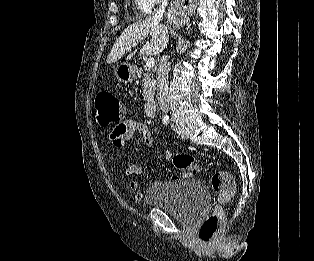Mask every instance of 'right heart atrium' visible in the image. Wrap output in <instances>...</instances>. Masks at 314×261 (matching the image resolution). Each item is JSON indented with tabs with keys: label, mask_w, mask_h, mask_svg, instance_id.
<instances>
[{
	"label": "right heart atrium",
	"mask_w": 314,
	"mask_h": 261,
	"mask_svg": "<svg viewBox=\"0 0 314 261\" xmlns=\"http://www.w3.org/2000/svg\"><path fill=\"white\" fill-rule=\"evenodd\" d=\"M147 12L151 11L156 5L164 0H140Z\"/></svg>",
	"instance_id": "right-heart-atrium-1"
}]
</instances>
